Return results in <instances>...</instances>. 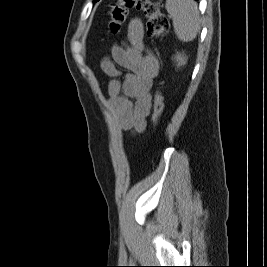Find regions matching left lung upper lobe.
<instances>
[{"mask_svg": "<svg viewBox=\"0 0 267 267\" xmlns=\"http://www.w3.org/2000/svg\"><path fill=\"white\" fill-rule=\"evenodd\" d=\"M97 1H99V0H94L93 2H97Z\"/></svg>", "mask_w": 267, "mask_h": 267, "instance_id": "obj_1", "label": "left lung upper lobe"}]
</instances>
